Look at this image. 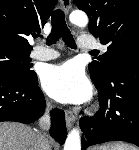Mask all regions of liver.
Wrapping results in <instances>:
<instances>
[{
  "instance_id": "1",
  "label": "liver",
  "mask_w": 139,
  "mask_h": 150,
  "mask_svg": "<svg viewBox=\"0 0 139 150\" xmlns=\"http://www.w3.org/2000/svg\"><path fill=\"white\" fill-rule=\"evenodd\" d=\"M0 150H40L38 134L20 123H0Z\"/></svg>"
}]
</instances>
